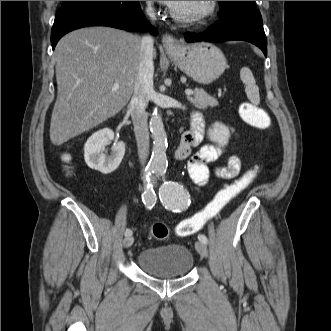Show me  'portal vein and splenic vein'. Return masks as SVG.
<instances>
[{"mask_svg": "<svg viewBox=\"0 0 331 331\" xmlns=\"http://www.w3.org/2000/svg\"><path fill=\"white\" fill-rule=\"evenodd\" d=\"M118 88H119L118 84H114L112 87L113 90H117ZM185 93L187 96H190V95H193L194 91L191 89H187V90H185Z\"/></svg>", "mask_w": 331, "mask_h": 331, "instance_id": "obj_1", "label": "portal vein and splenic vein"}]
</instances>
